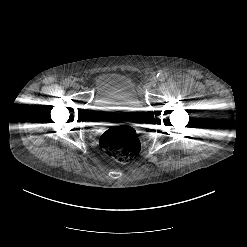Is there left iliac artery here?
I'll list each match as a JSON object with an SVG mask.
<instances>
[{
	"label": "left iliac artery",
	"mask_w": 247,
	"mask_h": 247,
	"mask_svg": "<svg viewBox=\"0 0 247 247\" xmlns=\"http://www.w3.org/2000/svg\"><path fill=\"white\" fill-rule=\"evenodd\" d=\"M156 77L159 81H164L167 78V74L165 72H159Z\"/></svg>",
	"instance_id": "obj_1"
}]
</instances>
